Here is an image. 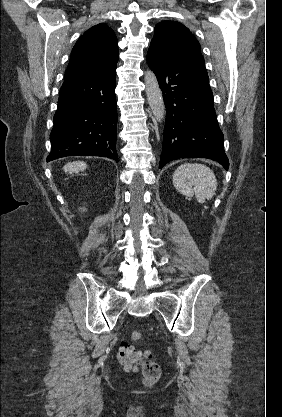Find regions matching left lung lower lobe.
Here are the masks:
<instances>
[{
    "mask_svg": "<svg viewBox=\"0 0 282 417\" xmlns=\"http://www.w3.org/2000/svg\"><path fill=\"white\" fill-rule=\"evenodd\" d=\"M147 62L166 106L159 168L180 158H208L228 169L203 57L150 45Z\"/></svg>",
    "mask_w": 282,
    "mask_h": 417,
    "instance_id": "0a47b994",
    "label": "left lung lower lobe"
}]
</instances>
